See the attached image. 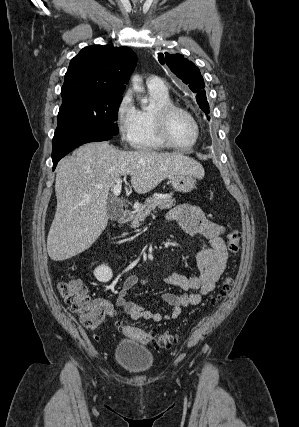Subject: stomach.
Instances as JSON below:
<instances>
[{"label":"stomach","instance_id":"stomach-1","mask_svg":"<svg viewBox=\"0 0 299 427\" xmlns=\"http://www.w3.org/2000/svg\"><path fill=\"white\" fill-rule=\"evenodd\" d=\"M172 187L177 192L189 193L195 188V176L187 173L173 174L171 176Z\"/></svg>","mask_w":299,"mask_h":427}]
</instances>
